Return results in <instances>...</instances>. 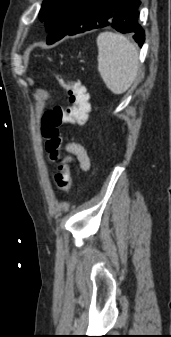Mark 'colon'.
Wrapping results in <instances>:
<instances>
[{"mask_svg": "<svg viewBox=\"0 0 171 337\" xmlns=\"http://www.w3.org/2000/svg\"><path fill=\"white\" fill-rule=\"evenodd\" d=\"M57 84L64 88L69 97V106H55L46 110L41 118L40 133L45 141V149L53 161L58 162V172L54 181L57 188L67 194L72 185L70 165L62 160L63 137L61 127L64 125H82L89 112V95L87 88L79 81L56 75Z\"/></svg>", "mask_w": 171, "mask_h": 337, "instance_id": "obj_1", "label": "colon"}]
</instances>
